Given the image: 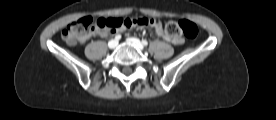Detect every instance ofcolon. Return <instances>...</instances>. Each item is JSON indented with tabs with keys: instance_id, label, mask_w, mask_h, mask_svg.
<instances>
[{
	"instance_id": "obj_1",
	"label": "colon",
	"mask_w": 276,
	"mask_h": 120,
	"mask_svg": "<svg viewBox=\"0 0 276 120\" xmlns=\"http://www.w3.org/2000/svg\"><path fill=\"white\" fill-rule=\"evenodd\" d=\"M152 18H92L85 17L69 24L62 32V39L74 45L78 41L84 39L87 35L104 32L108 30H119L130 28L132 26H151ZM165 32L175 37L180 34L188 39H195L198 35V27L195 23L189 20L169 21L165 25Z\"/></svg>"
}]
</instances>
